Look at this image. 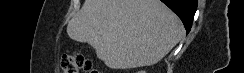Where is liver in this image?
Masks as SVG:
<instances>
[{
  "label": "liver",
  "instance_id": "liver-1",
  "mask_svg": "<svg viewBox=\"0 0 244 73\" xmlns=\"http://www.w3.org/2000/svg\"><path fill=\"white\" fill-rule=\"evenodd\" d=\"M68 36L90 44L112 69L154 65L180 41L184 27L160 0H85Z\"/></svg>",
  "mask_w": 244,
  "mask_h": 73
}]
</instances>
